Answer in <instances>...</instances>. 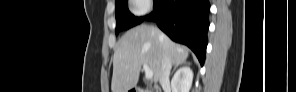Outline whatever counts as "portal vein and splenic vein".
Instances as JSON below:
<instances>
[{"label": "portal vein and splenic vein", "mask_w": 296, "mask_h": 92, "mask_svg": "<svg viewBox=\"0 0 296 92\" xmlns=\"http://www.w3.org/2000/svg\"><path fill=\"white\" fill-rule=\"evenodd\" d=\"M143 69L145 71V77L146 79H152L153 78V71L149 68L147 64H143Z\"/></svg>", "instance_id": "18ae733b"}]
</instances>
